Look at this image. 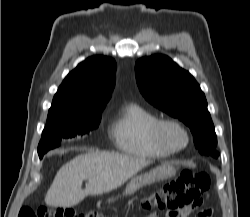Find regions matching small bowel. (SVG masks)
<instances>
[{"mask_svg": "<svg viewBox=\"0 0 250 217\" xmlns=\"http://www.w3.org/2000/svg\"><path fill=\"white\" fill-rule=\"evenodd\" d=\"M197 209L198 208H188V209L184 210V214H191L194 211H196ZM181 215H182V213L178 212V213L171 215L169 217H181ZM149 217H159V215H158V213L154 212V213L150 214ZM199 217H209V216L206 213H202L199 215Z\"/></svg>", "mask_w": 250, "mask_h": 217, "instance_id": "small-bowel-1", "label": "small bowel"}]
</instances>
